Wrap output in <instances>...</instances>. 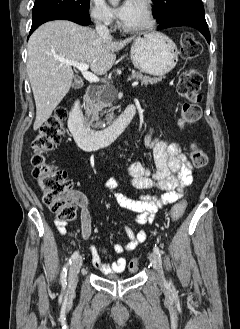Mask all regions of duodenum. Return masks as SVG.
<instances>
[{
    "mask_svg": "<svg viewBox=\"0 0 240 329\" xmlns=\"http://www.w3.org/2000/svg\"><path fill=\"white\" fill-rule=\"evenodd\" d=\"M135 104H129L125 110L106 128L93 130L85 123L78 98L71 102L69 113V129L78 143L85 151H92L114 141L129 125L136 114Z\"/></svg>",
    "mask_w": 240,
    "mask_h": 329,
    "instance_id": "1",
    "label": "duodenum"
}]
</instances>
